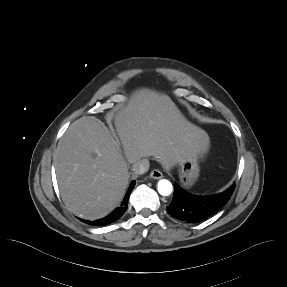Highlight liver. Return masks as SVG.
Listing matches in <instances>:
<instances>
[{"instance_id": "1", "label": "liver", "mask_w": 287, "mask_h": 287, "mask_svg": "<svg viewBox=\"0 0 287 287\" xmlns=\"http://www.w3.org/2000/svg\"><path fill=\"white\" fill-rule=\"evenodd\" d=\"M114 123L117 134L93 116L81 117L68 127L54 155L66 207L87 220L106 216L120 203L129 164L152 156L170 169L191 149L203 154L210 144L208 134L187 121L168 96L147 89L133 94Z\"/></svg>"}]
</instances>
